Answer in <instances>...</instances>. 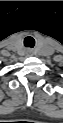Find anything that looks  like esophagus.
I'll list each match as a JSON object with an SVG mask.
<instances>
[{"mask_svg": "<svg viewBox=\"0 0 63 123\" xmlns=\"http://www.w3.org/2000/svg\"><path fill=\"white\" fill-rule=\"evenodd\" d=\"M26 52H27V54L30 55V56L34 54V50H33V49H27Z\"/></svg>", "mask_w": 63, "mask_h": 123, "instance_id": "esophagus-1", "label": "esophagus"}]
</instances>
